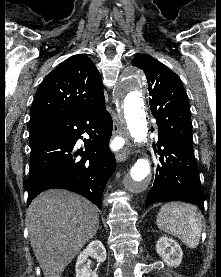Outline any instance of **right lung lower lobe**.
Wrapping results in <instances>:
<instances>
[{"label": "right lung lower lobe", "mask_w": 221, "mask_h": 277, "mask_svg": "<svg viewBox=\"0 0 221 277\" xmlns=\"http://www.w3.org/2000/svg\"><path fill=\"white\" fill-rule=\"evenodd\" d=\"M31 125L44 133L30 144L27 205L44 190L62 188L86 197L101 209L105 185L116 168L108 147L113 122L105 102L76 114L37 118ZM84 132L90 137L84 139L85 151H76Z\"/></svg>", "instance_id": "98d812e1"}]
</instances>
